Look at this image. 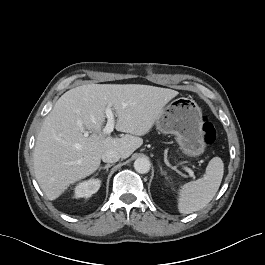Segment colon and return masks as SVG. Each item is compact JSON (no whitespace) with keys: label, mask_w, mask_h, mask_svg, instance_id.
Here are the masks:
<instances>
[{"label":"colon","mask_w":265,"mask_h":265,"mask_svg":"<svg viewBox=\"0 0 265 265\" xmlns=\"http://www.w3.org/2000/svg\"><path fill=\"white\" fill-rule=\"evenodd\" d=\"M202 133L206 144H212L216 140V129L208 119L203 120Z\"/></svg>","instance_id":"obj_1"}]
</instances>
